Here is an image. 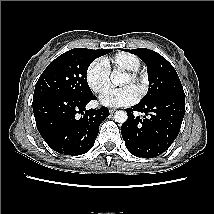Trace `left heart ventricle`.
Returning a JSON list of instances; mask_svg holds the SVG:
<instances>
[{"mask_svg": "<svg viewBox=\"0 0 214 214\" xmlns=\"http://www.w3.org/2000/svg\"><path fill=\"white\" fill-rule=\"evenodd\" d=\"M131 81L129 79V77L127 75L124 76L123 80L121 81V85L122 86H127V85H131Z\"/></svg>", "mask_w": 214, "mask_h": 214, "instance_id": "1", "label": "left heart ventricle"}]
</instances>
